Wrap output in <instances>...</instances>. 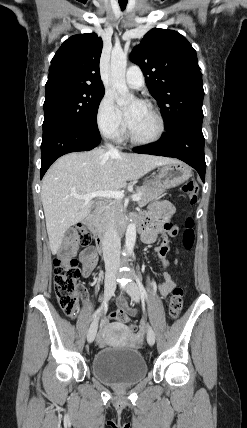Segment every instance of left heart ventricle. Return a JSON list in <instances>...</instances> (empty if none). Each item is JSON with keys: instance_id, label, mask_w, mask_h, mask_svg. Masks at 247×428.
<instances>
[{"instance_id": "1", "label": "left heart ventricle", "mask_w": 247, "mask_h": 428, "mask_svg": "<svg viewBox=\"0 0 247 428\" xmlns=\"http://www.w3.org/2000/svg\"><path fill=\"white\" fill-rule=\"evenodd\" d=\"M129 129L137 138H150L155 135L158 123L154 114L146 106H143Z\"/></svg>"}]
</instances>
